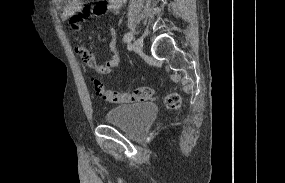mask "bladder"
<instances>
[{"label": "bladder", "mask_w": 285, "mask_h": 183, "mask_svg": "<svg viewBox=\"0 0 285 183\" xmlns=\"http://www.w3.org/2000/svg\"><path fill=\"white\" fill-rule=\"evenodd\" d=\"M157 112V107L150 102L121 105L109 110L105 120L108 124L138 133L151 124Z\"/></svg>", "instance_id": "bladder-1"}]
</instances>
